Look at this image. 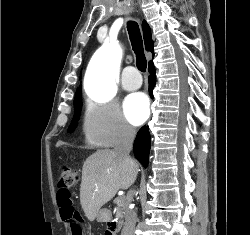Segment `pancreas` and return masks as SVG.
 Returning a JSON list of instances; mask_svg holds the SVG:
<instances>
[{"label":"pancreas","mask_w":250,"mask_h":235,"mask_svg":"<svg viewBox=\"0 0 250 235\" xmlns=\"http://www.w3.org/2000/svg\"><path fill=\"white\" fill-rule=\"evenodd\" d=\"M124 202H125V199L124 198H121L118 202H117V205H118V209H117V212H116V217L117 218H122L123 217V209L122 207L124 206Z\"/></svg>","instance_id":"pancreas-1"}]
</instances>
